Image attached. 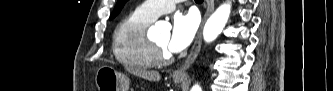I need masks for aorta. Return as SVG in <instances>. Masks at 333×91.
<instances>
[{
  "instance_id": "obj_1",
  "label": "aorta",
  "mask_w": 333,
  "mask_h": 91,
  "mask_svg": "<svg viewBox=\"0 0 333 91\" xmlns=\"http://www.w3.org/2000/svg\"><path fill=\"white\" fill-rule=\"evenodd\" d=\"M230 12H231V3L227 2L220 5L216 9V11L209 17L203 29V38L205 42H212L218 37V35L221 33V31L223 30L228 21ZM162 26H167V25L157 24L156 27L152 28V32L157 34L158 28ZM192 91H201V87L196 84L192 87Z\"/></svg>"
}]
</instances>
